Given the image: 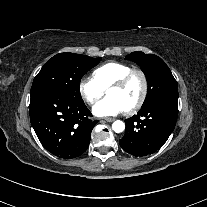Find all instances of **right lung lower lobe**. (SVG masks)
I'll use <instances>...</instances> for the list:
<instances>
[{"label":"right lung lower lobe","mask_w":207,"mask_h":207,"mask_svg":"<svg viewBox=\"0 0 207 207\" xmlns=\"http://www.w3.org/2000/svg\"><path fill=\"white\" fill-rule=\"evenodd\" d=\"M30 120L42 145L64 159L80 156L89 146L96 121L83 100L73 99L57 91L31 94Z\"/></svg>","instance_id":"obj_1"}]
</instances>
